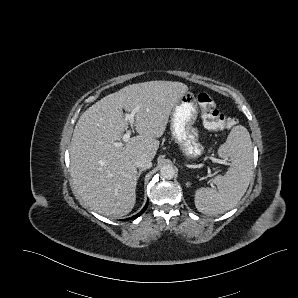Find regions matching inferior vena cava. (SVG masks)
I'll return each mask as SVG.
<instances>
[{
	"mask_svg": "<svg viewBox=\"0 0 298 298\" xmlns=\"http://www.w3.org/2000/svg\"><path fill=\"white\" fill-rule=\"evenodd\" d=\"M135 165L138 168L149 169L152 167V161L146 157H139L136 159Z\"/></svg>",
	"mask_w": 298,
	"mask_h": 298,
	"instance_id": "1",
	"label": "inferior vena cava"
}]
</instances>
